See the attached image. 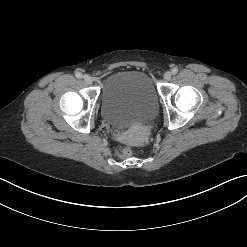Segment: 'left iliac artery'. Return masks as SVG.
<instances>
[{"instance_id": "44dca946", "label": "left iliac artery", "mask_w": 247, "mask_h": 247, "mask_svg": "<svg viewBox=\"0 0 247 247\" xmlns=\"http://www.w3.org/2000/svg\"><path fill=\"white\" fill-rule=\"evenodd\" d=\"M172 74H177L178 73V69L177 67H174L172 70H171Z\"/></svg>"}]
</instances>
